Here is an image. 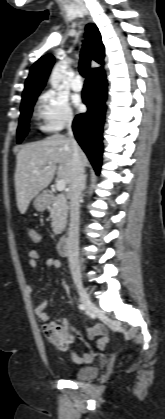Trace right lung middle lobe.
Instances as JSON below:
<instances>
[{
	"mask_svg": "<svg viewBox=\"0 0 165 419\" xmlns=\"http://www.w3.org/2000/svg\"><path fill=\"white\" fill-rule=\"evenodd\" d=\"M38 94L33 95L32 97L22 101L21 103V115L19 119V126L17 129V141L18 143H21L23 138L26 136L28 132V123L29 118L31 117L33 106L36 102Z\"/></svg>",
	"mask_w": 165,
	"mask_h": 419,
	"instance_id": "1",
	"label": "right lung middle lobe"
}]
</instances>
